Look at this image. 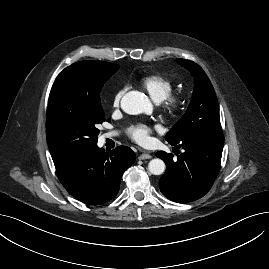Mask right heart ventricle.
<instances>
[{"instance_id":"e07e8e85","label":"right heart ventricle","mask_w":269,"mask_h":269,"mask_svg":"<svg viewBox=\"0 0 269 269\" xmlns=\"http://www.w3.org/2000/svg\"><path fill=\"white\" fill-rule=\"evenodd\" d=\"M141 86L149 93L156 102L167 98L174 89L173 82L159 74H150L141 79Z\"/></svg>"}]
</instances>
